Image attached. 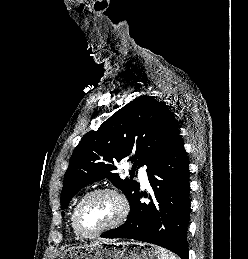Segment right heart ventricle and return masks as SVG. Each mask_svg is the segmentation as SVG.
Returning <instances> with one entry per match:
<instances>
[{
    "label": "right heart ventricle",
    "instance_id": "obj_1",
    "mask_svg": "<svg viewBox=\"0 0 248 259\" xmlns=\"http://www.w3.org/2000/svg\"><path fill=\"white\" fill-rule=\"evenodd\" d=\"M72 215H73V212H72L71 218H70L71 227H72V230H73L74 234H75L77 237H79L80 235L76 232V230H75V228H74V226H73Z\"/></svg>",
    "mask_w": 248,
    "mask_h": 259
}]
</instances>
